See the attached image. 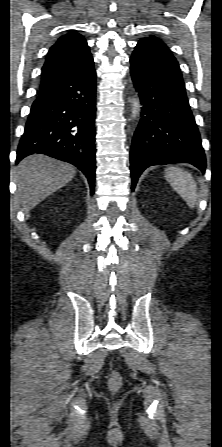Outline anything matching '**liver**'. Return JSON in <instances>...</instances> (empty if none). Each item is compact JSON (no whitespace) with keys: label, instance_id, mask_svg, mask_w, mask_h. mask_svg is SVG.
Instances as JSON below:
<instances>
[{"label":"liver","instance_id":"1","mask_svg":"<svg viewBox=\"0 0 222 447\" xmlns=\"http://www.w3.org/2000/svg\"><path fill=\"white\" fill-rule=\"evenodd\" d=\"M75 174L76 169L71 164L45 155H30L16 168V197L24 211L28 212L70 182Z\"/></svg>","mask_w":222,"mask_h":447}]
</instances>
